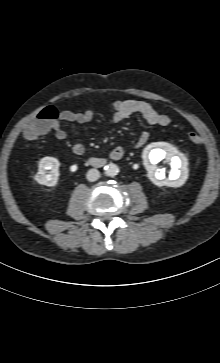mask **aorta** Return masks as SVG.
Segmentation results:
<instances>
[{"label":"aorta","mask_w":220,"mask_h":363,"mask_svg":"<svg viewBox=\"0 0 220 363\" xmlns=\"http://www.w3.org/2000/svg\"><path fill=\"white\" fill-rule=\"evenodd\" d=\"M104 173L109 177H114L119 173V168L114 163H109L104 167Z\"/></svg>","instance_id":"1"}]
</instances>
